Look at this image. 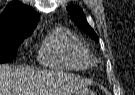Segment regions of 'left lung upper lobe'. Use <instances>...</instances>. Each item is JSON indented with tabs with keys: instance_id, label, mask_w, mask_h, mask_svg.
<instances>
[{
	"instance_id": "1",
	"label": "left lung upper lobe",
	"mask_w": 135,
	"mask_h": 95,
	"mask_svg": "<svg viewBox=\"0 0 135 95\" xmlns=\"http://www.w3.org/2000/svg\"><path fill=\"white\" fill-rule=\"evenodd\" d=\"M67 10L69 14L71 15L74 23L87 35H89L91 38H93L96 41H99L97 34L94 32V30L90 27L88 24L86 17L83 13V11L76 6H70L67 7Z\"/></svg>"
}]
</instances>
